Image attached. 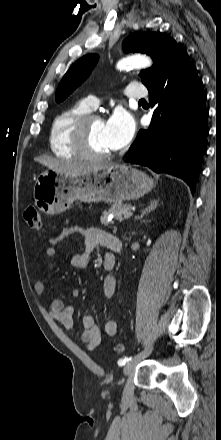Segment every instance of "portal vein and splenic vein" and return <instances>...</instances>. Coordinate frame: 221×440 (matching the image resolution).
<instances>
[{"label": "portal vein and splenic vein", "mask_w": 221, "mask_h": 440, "mask_svg": "<svg viewBox=\"0 0 221 440\" xmlns=\"http://www.w3.org/2000/svg\"><path fill=\"white\" fill-rule=\"evenodd\" d=\"M134 210H135V208H131V210L128 211V212L124 215V218L126 219V218L131 217V216L133 215Z\"/></svg>", "instance_id": "1"}]
</instances>
